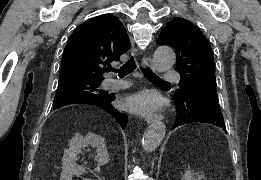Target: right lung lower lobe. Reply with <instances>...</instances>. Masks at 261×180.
I'll return each instance as SVG.
<instances>
[{
  "label": "right lung lower lobe",
  "instance_id": "98d812e1",
  "mask_svg": "<svg viewBox=\"0 0 261 180\" xmlns=\"http://www.w3.org/2000/svg\"><path fill=\"white\" fill-rule=\"evenodd\" d=\"M115 100V96L109 95L107 92L102 94L100 97L91 99L87 97H75L72 99H69L62 103L60 107L73 104V103H84V104H92L96 105L98 107H101L105 111L109 112L111 115L114 116V118L118 121L120 126L122 128H125L127 124L128 117L126 114L120 113L118 110L114 109L111 102Z\"/></svg>",
  "mask_w": 261,
  "mask_h": 180
}]
</instances>
